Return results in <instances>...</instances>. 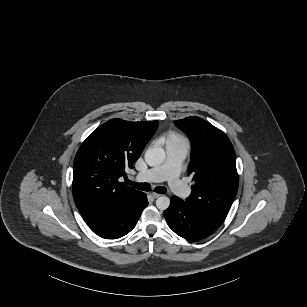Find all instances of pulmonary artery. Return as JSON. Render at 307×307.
<instances>
[{
    "instance_id": "pulmonary-artery-1",
    "label": "pulmonary artery",
    "mask_w": 307,
    "mask_h": 307,
    "mask_svg": "<svg viewBox=\"0 0 307 307\" xmlns=\"http://www.w3.org/2000/svg\"><path fill=\"white\" fill-rule=\"evenodd\" d=\"M188 149L186 147L175 148L167 147V161L161 167L150 169L148 172L142 170L138 173L137 179L145 183L150 180L156 183L160 180H166V186L168 190L180 194L184 199L191 196L192 191L188 187V183L185 179L180 178L181 164L187 155ZM161 174V175H160Z\"/></svg>"
}]
</instances>
